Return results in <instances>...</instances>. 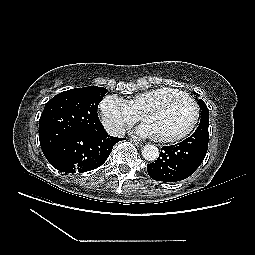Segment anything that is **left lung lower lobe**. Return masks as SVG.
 <instances>
[{"instance_id":"left-lung-lower-lobe-1","label":"left lung lower lobe","mask_w":255,"mask_h":255,"mask_svg":"<svg viewBox=\"0 0 255 255\" xmlns=\"http://www.w3.org/2000/svg\"><path fill=\"white\" fill-rule=\"evenodd\" d=\"M208 125L198 126L192 136L178 144L162 147L158 159L147 164L149 176L164 182H176L191 176L206 156Z\"/></svg>"}]
</instances>
